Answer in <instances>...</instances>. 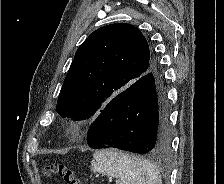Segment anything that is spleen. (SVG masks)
Masks as SVG:
<instances>
[{
    "label": "spleen",
    "instance_id": "obj_1",
    "mask_svg": "<svg viewBox=\"0 0 224 184\" xmlns=\"http://www.w3.org/2000/svg\"><path fill=\"white\" fill-rule=\"evenodd\" d=\"M91 169L116 178V184H162L156 165L137 155L115 149L96 151Z\"/></svg>",
    "mask_w": 224,
    "mask_h": 184
}]
</instances>
